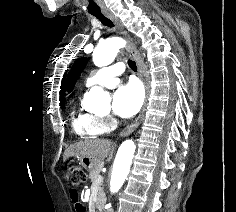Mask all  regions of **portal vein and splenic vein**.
<instances>
[{"mask_svg":"<svg viewBox=\"0 0 236 212\" xmlns=\"http://www.w3.org/2000/svg\"><path fill=\"white\" fill-rule=\"evenodd\" d=\"M102 181H103V177L99 175L98 178L96 179V182L101 183Z\"/></svg>","mask_w":236,"mask_h":212,"instance_id":"18ae733b","label":"portal vein and splenic vein"}]
</instances>
